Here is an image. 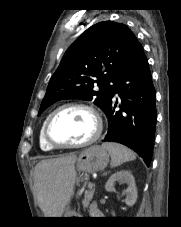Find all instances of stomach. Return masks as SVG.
<instances>
[{
    "label": "stomach",
    "instance_id": "stomach-1",
    "mask_svg": "<svg viewBox=\"0 0 181 227\" xmlns=\"http://www.w3.org/2000/svg\"><path fill=\"white\" fill-rule=\"evenodd\" d=\"M109 162V153L99 145H93L82 151L77 160L76 167L79 172H97L103 170ZM77 213L67 210L63 217H78Z\"/></svg>",
    "mask_w": 181,
    "mask_h": 227
}]
</instances>
